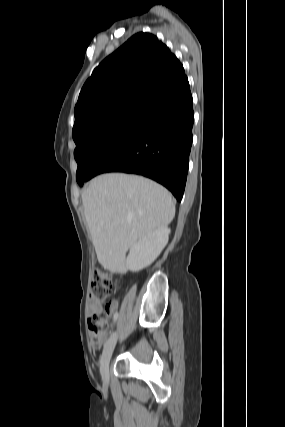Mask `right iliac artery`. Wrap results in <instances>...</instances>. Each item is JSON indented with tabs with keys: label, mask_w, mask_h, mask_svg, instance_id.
<instances>
[{
	"label": "right iliac artery",
	"mask_w": 285,
	"mask_h": 427,
	"mask_svg": "<svg viewBox=\"0 0 285 427\" xmlns=\"http://www.w3.org/2000/svg\"><path fill=\"white\" fill-rule=\"evenodd\" d=\"M118 314L115 316V320L117 319Z\"/></svg>",
	"instance_id": "obj_1"
}]
</instances>
